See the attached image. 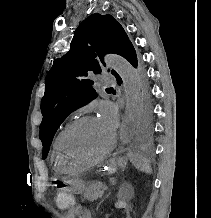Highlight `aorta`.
Segmentation results:
<instances>
[{"instance_id":"obj_1","label":"aorta","mask_w":211,"mask_h":218,"mask_svg":"<svg viewBox=\"0 0 211 218\" xmlns=\"http://www.w3.org/2000/svg\"><path fill=\"white\" fill-rule=\"evenodd\" d=\"M108 66L115 70L121 77L125 96L126 111L120 129L122 144L129 143L134 137L140 123L143 93L136 71L127 60L118 55L105 57Z\"/></svg>"}]
</instances>
